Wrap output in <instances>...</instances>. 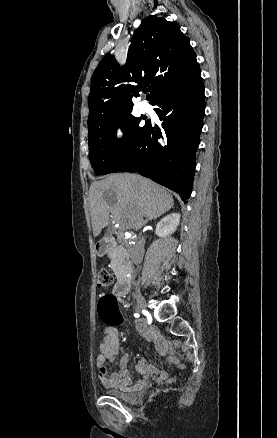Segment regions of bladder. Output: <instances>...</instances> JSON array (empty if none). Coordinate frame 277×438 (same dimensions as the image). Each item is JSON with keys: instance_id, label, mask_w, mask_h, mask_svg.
<instances>
[{"instance_id": "obj_1", "label": "bladder", "mask_w": 277, "mask_h": 438, "mask_svg": "<svg viewBox=\"0 0 277 438\" xmlns=\"http://www.w3.org/2000/svg\"><path fill=\"white\" fill-rule=\"evenodd\" d=\"M105 394L110 398L116 399L124 403L128 402L132 397V395L129 394L128 392H125L118 388H108L105 390Z\"/></svg>"}]
</instances>
